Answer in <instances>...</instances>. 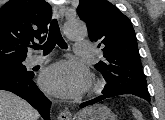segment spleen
<instances>
[{"label": "spleen", "instance_id": "spleen-1", "mask_svg": "<svg viewBox=\"0 0 165 120\" xmlns=\"http://www.w3.org/2000/svg\"><path fill=\"white\" fill-rule=\"evenodd\" d=\"M132 112H133V115H134V118L136 120H143V117H142V114L140 111H138L137 109L135 108H132Z\"/></svg>", "mask_w": 165, "mask_h": 120}]
</instances>
